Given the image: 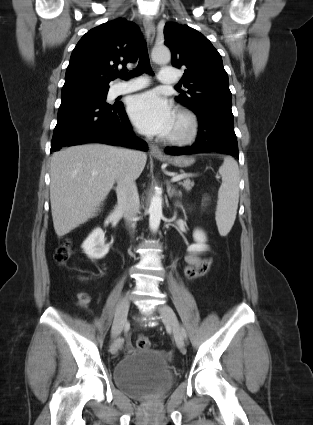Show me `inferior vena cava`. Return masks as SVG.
Wrapping results in <instances>:
<instances>
[{"mask_svg":"<svg viewBox=\"0 0 313 425\" xmlns=\"http://www.w3.org/2000/svg\"><path fill=\"white\" fill-rule=\"evenodd\" d=\"M122 154L127 163L138 157V152L133 150H123ZM116 193L119 209L134 228L133 219L137 216L140 202L135 179L127 169L122 170L118 176Z\"/></svg>","mask_w":313,"mask_h":425,"instance_id":"1","label":"inferior vena cava"}]
</instances>
